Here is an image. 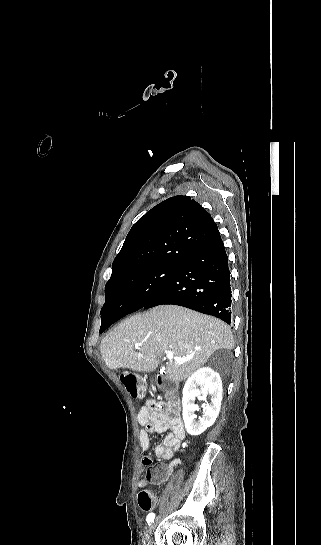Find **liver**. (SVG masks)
<instances>
[{
	"instance_id": "obj_1",
	"label": "liver",
	"mask_w": 321,
	"mask_h": 545,
	"mask_svg": "<svg viewBox=\"0 0 321 545\" xmlns=\"http://www.w3.org/2000/svg\"><path fill=\"white\" fill-rule=\"evenodd\" d=\"M135 343H143L133 351ZM230 327L208 315L177 305H159L122 321L101 341L100 351L109 369L151 373L165 351L192 361H170L165 371L172 381H185L207 363L214 351L234 349Z\"/></svg>"
}]
</instances>
